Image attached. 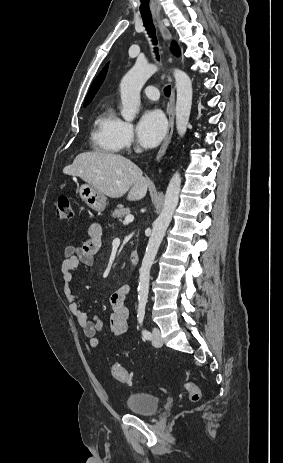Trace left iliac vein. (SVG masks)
I'll list each match as a JSON object with an SVG mask.
<instances>
[{"label":"left iliac vein","instance_id":"4c4485c4","mask_svg":"<svg viewBox=\"0 0 283 463\" xmlns=\"http://www.w3.org/2000/svg\"><path fill=\"white\" fill-rule=\"evenodd\" d=\"M152 344L155 347H161L163 344V340L161 338V333L158 328L152 329Z\"/></svg>","mask_w":283,"mask_h":463}]
</instances>
